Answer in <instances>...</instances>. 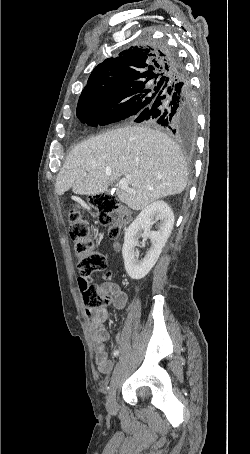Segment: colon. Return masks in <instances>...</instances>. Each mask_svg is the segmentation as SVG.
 <instances>
[{
    "label": "colon",
    "instance_id": "1",
    "mask_svg": "<svg viewBox=\"0 0 250 454\" xmlns=\"http://www.w3.org/2000/svg\"><path fill=\"white\" fill-rule=\"evenodd\" d=\"M92 206L98 212V220L103 225H111L109 234L111 237L119 235V227L114 223L113 213L117 210L118 203L114 196L102 193L90 197ZM69 234L74 244V253L78 271L83 277L94 272L105 271L106 278L111 276L107 271V257L101 253L96 246L91 231L82 219L81 210L77 206L69 209ZM84 299L90 310H99L107 306L111 299L107 295H100L97 287L88 285Z\"/></svg>",
    "mask_w": 250,
    "mask_h": 454
}]
</instances>
